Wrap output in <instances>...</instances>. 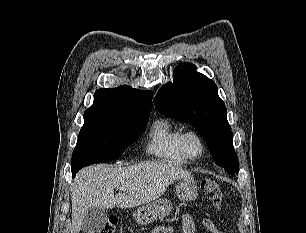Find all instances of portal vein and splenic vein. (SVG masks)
Returning a JSON list of instances; mask_svg holds the SVG:
<instances>
[{
    "instance_id": "18ae733b",
    "label": "portal vein and splenic vein",
    "mask_w": 306,
    "mask_h": 233,
    "mask_svg": "<svg viewBox=\"0 0 306 233\" xmlns=\"http://www.w3.org/2000/svg\"><path fill=\"white\" fill-rule=\"evenodd\" d=\"M119 189L123 191V190H124V187H119Z\"/></svg>"
}]
</instances>
